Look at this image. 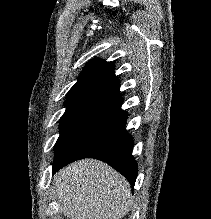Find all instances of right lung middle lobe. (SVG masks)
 <instances>
[{
    "instance_id": "1",
    "label": "right lung middle lobe",
    "mask_w": 211,
    "mask_h": 219,
    "mask_svg": "<svg viewBox=\"0 0 211 219\" xmlns=\"http://www.w3.org/2000/svg\"><path fill=\"white\" fill-rule=\"evenodd\" d=\"M60 119V136L55 144L54 165L119 107L94 100L66 102Z\"/></svg>"
}]
</instances>
